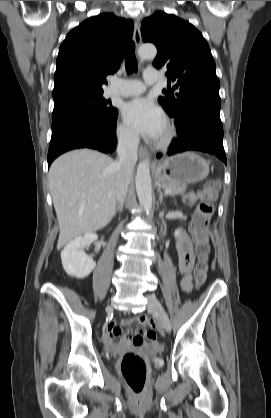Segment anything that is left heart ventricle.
Listing matches in <instances>:
<instances>
[{
    "instance_id": "left-heart-ventricle-1",
    "label": "left heart ventricle",
    "mask_w": 271,
    "mask_h": 418,
    "mask_svg": "<svg viewBox=\"0 0 271 418\" xmlns=\"http://www.w3.org/2000/svg\"><path fill=\"white\" fill-rule=\"evenodd\" d=\"M165 130L163 131V133L161 134V136L164 134Z\"/></svg>"
}]
</instances>
